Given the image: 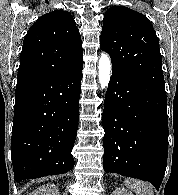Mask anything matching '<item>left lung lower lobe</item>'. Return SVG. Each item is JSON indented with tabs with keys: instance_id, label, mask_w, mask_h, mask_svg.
Here are the masks:
<instances>
[{
	"instance_id": "0a47b994",
	"label": "left lung lower lobe",
	"mask_w": 178,
	"mask_h": 195,
	"mask_svg": "<svg viewBox=\"0 0 178 195\" xmlns=\"http://www.w3.org/2000/svg\"><path fill=\"white\" fill-rule=\"evenodd\" d=\"M165 90L112 69L102 124L105 172L149 181L159 190L168 156Z\"/></svg>"
}]
</instances>
